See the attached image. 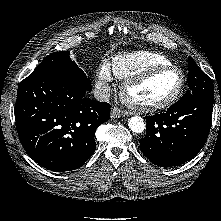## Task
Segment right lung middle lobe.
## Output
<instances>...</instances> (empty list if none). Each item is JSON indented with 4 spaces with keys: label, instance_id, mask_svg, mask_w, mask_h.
<instances>
[{
    "label": "right lung middle lobe",
    "instance_id": "right-lung-middle-lobe-1",
    "mask_svg": "<svg viewBox=\"0 0 221 221\" xmlns=\"http://www.w3.org/2000/svg\"><path fill=\"white\" fill-rule=\"evenodd\" d=\"M49 75H63L74 77L86 85H91L86 74L71 60L69 51L57 52L48 55L24 80H32Z\"/></svg>",
    "mask_w": 221,
    "mask_h": 221
}]
</instances>
